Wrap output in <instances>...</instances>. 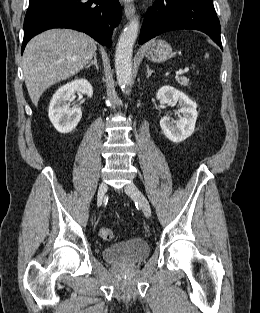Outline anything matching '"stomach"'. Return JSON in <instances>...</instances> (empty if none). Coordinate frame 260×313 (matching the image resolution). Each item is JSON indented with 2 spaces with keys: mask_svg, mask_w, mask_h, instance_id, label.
I'll return each instance as SVG.
<instances>
[{
  "mask_svg": "<svg viewBox=\"0 0 260 313\" xmlns=\"http://www.w3.org/2000/svg\"><path fill=\"white\" fill-rule=\"evenodd\" d=\"M145 54L153 62H165L173 55L171 45L162 40H152L145 47Z\"/></svg>",
  "mask_w": 260,
  "mask_h": 313,
  "instance_id": "0dacf381",
  "label": "stomach"
}]
</instances>
